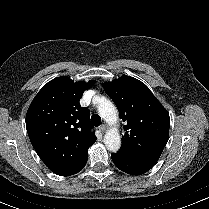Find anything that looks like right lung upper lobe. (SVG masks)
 Returning <instances> with one entry per match:
<instances>
[{
    "mask_svg": "<svg viewBox=\"0 0 209 209\" xmlns=\"http://www.w3.org/2000/svg\"><path fill=\"white\" fill-rule=\"evenodd\" d=\"M92 81L73 82L62 76L45 84L26 114L30 141L45 165L55 174L68 176L88 155L96 141L90 113L79 101Z\"/></svg>",
    "mask_w": 209,
    "mask_h": 209,
    "instance_id": "cb5924a9",
    "label": "right lung upper lobe"
}]
</instances>
